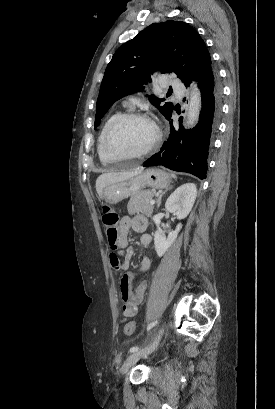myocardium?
<instances>
[{
  "label": "myocardium",
  "mask_w": 275,
  "mask_h": 409,
  "mask_svg": "<svg viewBox=\"0 0 275 409\" xmlns=\"http://www.w3.org/2000/svg\"><path fill=\"white\" fill-rule=\"evenodd\" d=\"M126 120H139V121H143L146 124L149 125V127L151 128L152 134L150 139L148 140L147 144L142 147L139 150L124 154L122 156H118V157H139V156H143L146 155L147 153H149L159 142L160 140V130L158 128V126L155 124L154 121H152L148 116L141 114V113H136V112H129V113H124L119 115L117 118H115L113 120V122L111 123V125L109 126L104 140H103V145H102V153L104 157H112L110 155H108L106 149H107V145L108 142L114 132V130L116 129V127L121 124L122 122L126 121Z\"/></svg>",
  "instance_id": "f54148a6"
}]
</instances>
